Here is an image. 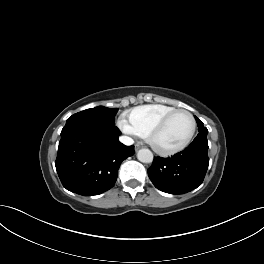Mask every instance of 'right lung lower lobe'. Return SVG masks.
<instances>
[{
  "mask_svg": "<svg viewBox=\"0 0 264 264\" xmlns=\"http://www.w3.org/2000/svg\"><path fill=\"white\" fill-rule=\"evenodd\" d=\"M116 126L91 122L66 123L55 162L63 186L83 196L111 189L123 160L132 156L134 146L119 142Z\"/></svg>",
  "mask_w": 264,
  "mask_h": 264,
  "instance_id": "98d812e1",
  "label": "right lung lower lobe"
}]
</instances>
